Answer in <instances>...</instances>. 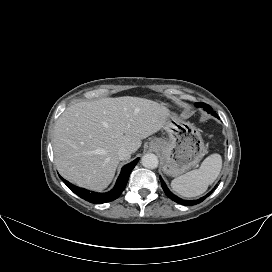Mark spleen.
<instances>
[{
    "mask_svg": "<svg viewBox=\"0 0 272 272\" xmlns=\"http://www.w3.org/2000/svg\"><path fill=\"white\" fill-rule=\"evenodd\" d=\"M222 167L219 154L208 156L199 169L192 170L172 180V189L185 198L197 197L204 193L208 186L218 177Z\"/></svg>",
    "mask_w": 272,
    "mask_h": 272,
    "instance_id": "obj_1",
    "label": "spleen"
}]
</instances>
